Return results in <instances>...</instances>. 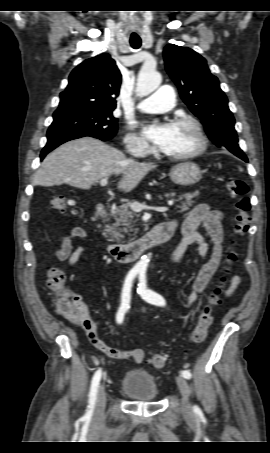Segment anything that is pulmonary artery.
<instances>
[{
	"label": "pulmonary artery",
	"instance_id": "1",
	"mask_svg": "<svg viewBox=\"0 0 270 453\" xmlns=\"http://www.w3.org/2000/svg\"><path fill=\"white\" fill-rule=\"evenodd\" d=\"M175 103V93L172 87L162 86L155 93L142 99L137 108L146 113H165Z\"/></svg>",
	"mask_w": 270,
	"mask_h": 453
}]
</instances>
